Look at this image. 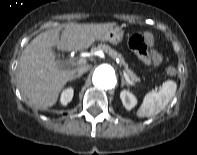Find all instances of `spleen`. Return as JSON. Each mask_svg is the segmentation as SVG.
<instances>
[{"instance_id": "3e777b00", "label": "spleen", "mask_w": 197, "mask_h": 155, "mask_svg": "<svg viewBox=\"0 0 197 155\" xmlns=\"http://www.w3.org/2000/svg\"><path fill=\"white\" fill-rule=\"evenodd\" d=\"M177 90V84L167 80L162 84L158 92L147 93L140 108L137 111L138 117H151L160 113L172 100Z\"/></svg>"}]
</instances>
